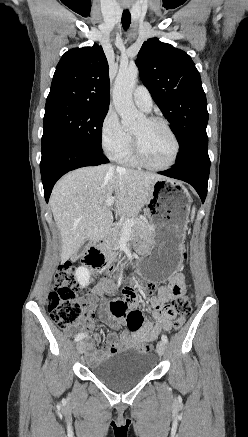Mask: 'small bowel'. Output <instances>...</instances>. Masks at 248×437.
Returning <instances> with one entry per match:
<instances>
[{
  "instance_id": "1",
  "label": "small bowel",
  "mask_w": 248,
  "mask_h": 437,
  "mask_svg": "<svg viewBox=\"0 0 248 437\" xmlns=\"http://www.w3.org/2000/svg\"><path fill=\"white\" fill-rule=\"evenodd\" d=\"M185 276L182 273L175 275L168 286H162L158 290L157 296L150 299L153 309L152 320L144 321L142 313L137 309V294L130 288L123 291L124 298H112L108 324L110 332L107 336V343L101 349H97L93 342L86 345L87 361L91 365H96L101 361L115 355L123 349L136 347L142 343L154 341L161 332L170 331L172 328L173 315L169 313L167 303L175 297L185 292ZM115 285L107 280L99 281L93 287V292L87 296L86 301L93 308L103 309L106 305L102 297L105 294H115ZM116 314V315H115ZM115 320L127 325L128 330L121 333L116 332ZM94 328L92 322L86 325H76L67 330L69 335H78L82 331H90ZM86 334V333H84ZM87 335V334H86ZM101 336L96 334L94 342H99Z\"/></svg>"
}]
</instances>
